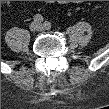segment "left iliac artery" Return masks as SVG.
I'll list each match as a JSON object with an SVG mask.
<instances>
[{
	"label": "left iliac artery",
	"instance_id": "1",
	"mask_svg": "<svg viewBox=\"0 0 109 109\" xmlns=\"http://www.w3.org/2000/svg\"><path fill=\"white\" fill-rule=\"evenodd\" d=\"M44 27H45L46 29H49V28L51 27V23L48 22V21H46V22L44 23Z\"/></svg>",
	"mask_w": 109,
	"mask_h": 109
}]
</instances>
